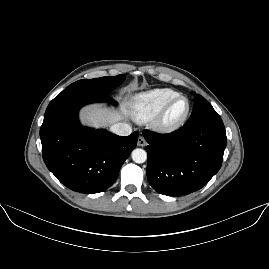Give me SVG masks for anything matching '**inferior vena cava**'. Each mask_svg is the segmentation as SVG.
<instances>
[{"instance_id":"1","label":"inferior vena cava","mask_w":269,"mask_h":269,"mask_svg":"<svg viewBox=\"0 0 269 269\" xmlns=\"http://www.w3.org/2000/svg\"><path fill=\"white\" fill-rule=\"evenodd\" d=\"M110 130L119 136H128L132 133V128L127 123H116L111 126Z\"/></svg>"}]
</instances>
